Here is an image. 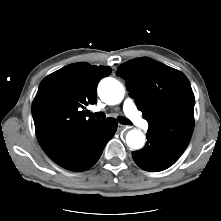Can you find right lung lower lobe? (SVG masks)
<instances>
[{"label": "right lung lower lobe", "instance_id": "98d812e1", "mask_svg": "<svg viewBox=\"0 0 221 221\" xmlns=\"http://www.w3.org/2000/svg\"><path fill=\"white\" fill-rule=\"evenodd\" d=\"M116 128L117 121L114 118L99 120L71 136L48 156L67 170H87L98 161L106 143L114 136Z\"/></svg>", "mask_w": 221, "mask_h": 221}]
</instances>
